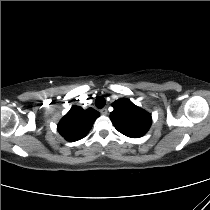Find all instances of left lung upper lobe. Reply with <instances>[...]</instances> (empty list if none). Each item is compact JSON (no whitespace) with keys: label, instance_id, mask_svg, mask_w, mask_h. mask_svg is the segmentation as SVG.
Wrapping results in <instances>:
<instances>
[{"label":"left lung upper lobe","instance_id":"obj_1","mask_svg":"<svg viewBox=\"0 0 210 210\" xmlns=\"http://www.w3.org/2000/svg\"><path fill=\"white\" fill-rule=\"evenodd\" d=\"M114 110L110 114L115 128L131 138L143 136L151 126V115L134 105L126 98L119 99L112 104Z\"/></svg>","mask_w":210,"mask_h":210}]
</instances>
